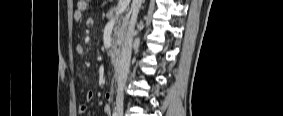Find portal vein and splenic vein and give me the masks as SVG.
<instances>
[{
    "instance_id": "1",
    "label": "portal vein and splenic vein",
    "mask_w": 283,
    "mask_h": 116,
    "mask_svg": "<svg viewBox=\"0 0 283 116\" xmlns=\"http://www.w3.org/2000/svg\"><path fill=\"white\" fill-rule=\"evenodd\" d=\"M128 2H129L128 0H122V5L118 9L116 16H119L120 14H122L127 9Z\"/></svg>"
}]
</instances>
